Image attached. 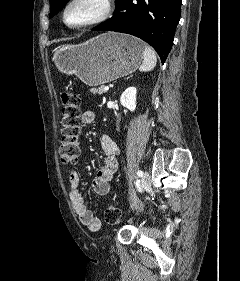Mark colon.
<instances>
[{"instance_id": "colon-1", "label": "colon", "mask_w": 240, "mask_h": 281, "mask_svg": "<svg viewBox=\"0 0 240 281\" xmlns=\"http://www.w3.org/2000/svg\"><path fill=\"white\" fill-rule=\"evenodd\" d=\"M62 99V139L59 148L60 159L65 164H76L80 156V98L77 94L65 91ZM121 215L120 209L115 204H110L105 211V220L109 224L118 222Z\"/></svg>"}]
</instances>
